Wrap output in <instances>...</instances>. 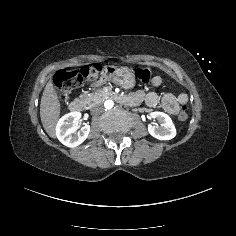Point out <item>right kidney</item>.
<instances>
[{"mask_svg": "<svg viewBox=\"0 0 236 236\" xmlns=\"http://www.w3.org/2000/svg\"><path fill=\"white\" fill-rule=\"evenodd\" d=\"M79 112H72L63 116L57 124V137L62 144L69 148H75L81 145L88 137L90 125L79 126L77 122L80 119ZM80 127V131L77 129Z\"/></svg>", "mask_w": 236, "mask_h": 236, "instance_id": "obj_1", "label": "right kidney"}]
</instances>
